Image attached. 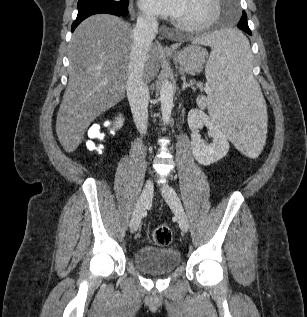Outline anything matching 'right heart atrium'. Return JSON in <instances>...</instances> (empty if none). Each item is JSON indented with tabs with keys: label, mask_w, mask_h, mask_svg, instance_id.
<instances>
[{
	"label": "right heart atrium",
	"mask_w": 307,
	"mask_h": 317,
	"mask_svg": "<svg viewBox=\"0 0 307 317\" xmlns=\"http://www.w3.org/2000/svg\"><path fill=\"white\" fill-rule=\"evenodd\" d=\"M140 22L144 25H152L154 23V18L151 17L150 15L142 14L139 17Z\"/></svg>",
	"instance_id": "obj_1"
}]
</instances>
